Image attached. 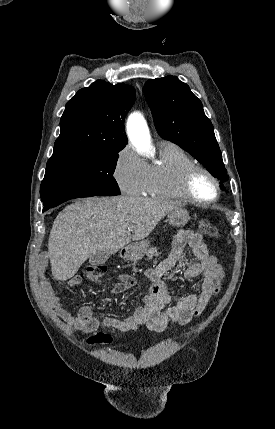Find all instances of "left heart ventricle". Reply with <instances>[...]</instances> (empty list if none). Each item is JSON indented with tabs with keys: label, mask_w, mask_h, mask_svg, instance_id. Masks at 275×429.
<instances>
[{
	"label": "left heart ventricle",
	"mask_w": 275,
	"mask_h": 429,
	"mask_svg": "<svg viewBox=\"0 0 275 429\" xmlns=\"http://www.w3.org/2000/svg\"><path fill=\"white\" fill-rule=\"evenodd\" d=\"M193 191L201 199H211L216 194L214 183L203 173H199L193 180Z\"/></svg>",
	"instance_id": "obj_1"
}]
</instances>
